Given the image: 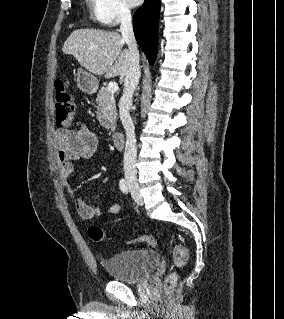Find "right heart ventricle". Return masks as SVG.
<instances>
[{
    "label": "right heart ventricle",
    "mask_w": 284,
    "mask_h": 319,
    "mask_svg": "<svg viewBox=\"0 0 284 319\" xmlns=\"http://www.w3.org/2000/svg\"><path fill=\"white\" fill-rule=\"evenodd\" d=\"M86 2L95 16V0H86Z\"/></svg>",
    "instance_id": "right-heart-ventricle-1"
}]
</instances>
